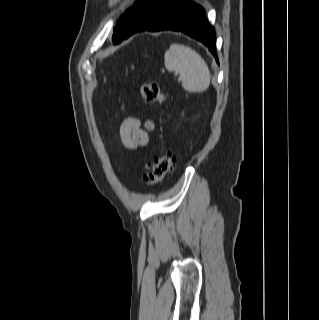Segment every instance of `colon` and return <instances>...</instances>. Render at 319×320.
Segmentation results:
<instances>
[{
	"mask_svg": "<svg viewBox=\"0 0 319 320\" xmlns=\"http://www.w3.org/2000/svg\"><path fill=\"white\" fill-rule=\"evenodd\" d=\"M141 98L148 103L162 104L166 101V94L161 90L156 81L145 80L140 86ZM174 169V159L169 153L156 156L148 165L143 174V182L154 185L166 178Z\"/></svg>",
	"mask_w": 319,
	"mask_h": 320,
	"instance_id": "1",
	"label": "colon"
}]
</instances>
